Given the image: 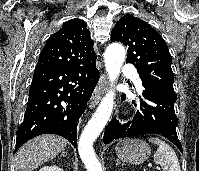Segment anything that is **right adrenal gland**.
Instances as JSON below:
<instances>
[{"label": "right adrenal gland", "mask_w": 199, "mask_h": 171, "mask_svg": "<svg viewBox=\"0 0 199 171\" xmlns=\"http://www.w3.org/2000/svg\"><path fill=\"white\" fill-rule=\"evenodd\" d=\"M61 156H66V152L63 150Z\"/></svg>", "instance_id": "1"}]
</instances>
